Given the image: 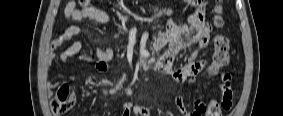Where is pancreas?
I'll return each instance as SVG.
<instances>
[{"mask_svg":"<svg viewBox=\"0 0 283 116\" xmlns=\"http://www.w3.org/2000/svg\"><path fill=\"white\" fill-rule=\"evenodd\" d=\"M154 12H155V14H154L155 18L160 17L163 13L166 14V15L172 14L171 10H160V11H158V9H155Z\"/></svg>","mask_w":283,"mask_h":116,"instance_id":"pancreas-1","label":"pancreas"}]
</instances>
